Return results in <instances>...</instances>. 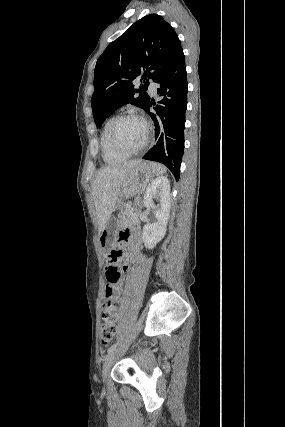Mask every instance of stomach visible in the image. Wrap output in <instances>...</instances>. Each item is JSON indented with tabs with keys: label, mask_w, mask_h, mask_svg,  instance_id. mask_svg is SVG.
<instances>
[{
	"label": "stomach",
	"mask_w": 285,
	"mask_h": 427,
	"mask_svg": "<svg viewBox=\"0 0 285 427\" xmlns=\"http://www.w3.org/2000/svg\"><path fill=\"white\" fill-rule=\"evenodd\" d=\"M152 178L153 171L150 164L139 162L133 166L116 202L115 209L119 210L120 217L112 216L99 235V243L103 249L107 250L111 246L113 238L119 229V220L126 206L124 200L142 193Z\"/></svg>",
	"instance_id": "stomach-1"
}]
</instances>
